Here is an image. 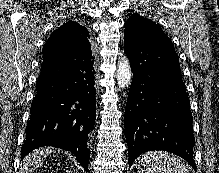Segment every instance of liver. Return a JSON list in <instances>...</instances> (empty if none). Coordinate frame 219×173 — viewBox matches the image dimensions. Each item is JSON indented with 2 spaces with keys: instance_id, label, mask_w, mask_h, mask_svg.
I'll use <instances>...</instances> for the list:
<instances>
[{
  "instance_id": "6515ba94",
  "label": "liver",
  "mask_w": 219,
  "mask_h": 173,
  "mask_svg": "<svg viewBox=\"0 0 219 173\" xmlns=\"http://www.w3.org/2000/svg\"><path fill=\"white\" fill-rule=\"evenodd\" d=\"M49 153L50 150L40 149L28 155L24 159V166L27 173H30L32 170L38 168L44 162Z\"/></svg>"
}]
</instances>
